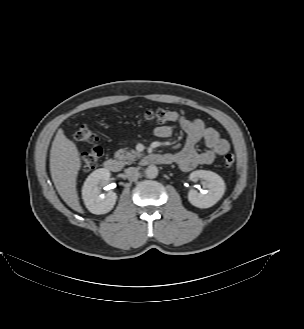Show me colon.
Listing matches in <instances>:
<instances>
[{
  "label": "colon",
  "mask_w": 304,
  "mask_h": 329,
  "mask_svg": "<svg viewBox=\"0 0 304 329\" xmlns=\"http://www.w3.org/2000/svg\"><path fill=\"white\" fill-rule=\"evenodd\" d=\"M139 117L149 124L163 125L168 122L180 120L184 114L183 112L168 111L164 109L149 110L140 114H131ZM74 139L80 143H88L92 148L84 154L81 159V170L83 172H90L94 170L100 160L103 150L98 144V136L95 130L88 125H81L74 134ZM235 157L232 153H226L224 156V163L230 167L234 164Z\"/></svg>",
  "instance_id": "obj_1"
}]
</instances>
